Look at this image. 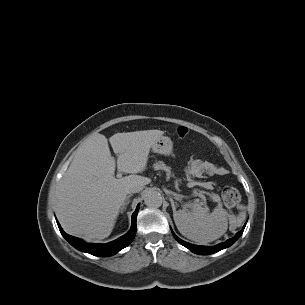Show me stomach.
<instances>
[{
	"instance_id": "stomach-1",
	"label": "stomach",
	"mask_w": 305,
	"mask_h": 305,
	"mask_svg": "<svg viewBox=\"0 0 305 305\" xmlns=\"http://www.w3.org/2000/svg\"><path fill=\"white\" fill-rule=\"evenodd\" d=\"M151 148L154 153H159L165 156L173 154V142L166 136H162L152 145Z\"/></svg>"
}]
</instances>
